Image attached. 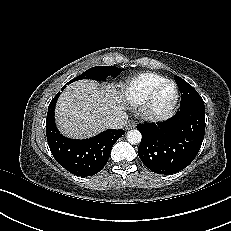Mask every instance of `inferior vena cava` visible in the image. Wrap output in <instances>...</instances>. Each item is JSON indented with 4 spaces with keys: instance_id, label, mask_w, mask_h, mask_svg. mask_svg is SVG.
Returning a JSON list of instances; mask_svg holds the SVG:
<instances>
[{
    "instance_id": "602c4592",
    "label": "inferior vena cava",
    "mask_w": 231,
    "mask_h": 231,
    "mask_svg": "<svg viewBox=\"0 0 231 231\" xmlns=\"http://www.w3.org/2000/svg\"><path fill=\"white\" fill-rule=\"evenodd\" d=\"M128 115L125 112H120L115 117H110L106 121L107 128L122 129L127 123Z\"/></svg>"
}]
</instances>
